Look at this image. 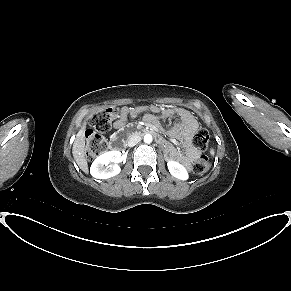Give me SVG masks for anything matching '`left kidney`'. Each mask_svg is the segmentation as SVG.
<instances>
[{
    "label": "left kidney",
    "mask_w": 291,
    "mask_h": 291,
    "mask_svg": "<svg viewBox=\"0 0 291 291\" xmlns=\"http://www.w3.org/2000/svg\"><path fill=\"white\" fill-rule=\"evenodd\" d=\"M169 172L172 176L180 179V180H187L189 175L186 168L178 162L175 161H168L167 163Z\"/></svg>",
    "instance_id": "left-kidney-1"
}]
</instances>
